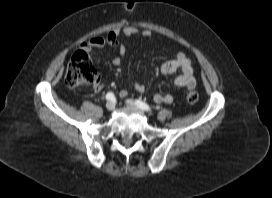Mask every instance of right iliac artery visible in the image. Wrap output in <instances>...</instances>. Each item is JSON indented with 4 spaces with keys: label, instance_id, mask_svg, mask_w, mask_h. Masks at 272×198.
<instances>
[{
    "label": "right iliac artery",
    "instance_id": "1",
    "mask_svg": "<svg viewBox=\"0 0 272 198\" xmlns=\"http://www.w3.org/2000/svg\"><path fill=\"white\" fill-rule=\"evenodd\" d=\"M106 99H107V100H113V99H114V94H113L112 92H108V93L106 94Z\"/></svg>",
    "mask_w": 272,
    "mask_h": 198
}]
</instances>
